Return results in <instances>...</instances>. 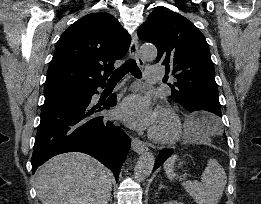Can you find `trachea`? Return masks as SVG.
I'll use <instances>...</instances> for the list:
<instances>
[{"label": "trachea", "instance_id": "trachea-1", "mask_svg": "<svg viewBox=\"0 0 261 204\" xmlns=\"http://www.w3.org/2000/svg\"><path fill=\"white\" fill-rule=\"evenodd\" d=\"M130 71V73L135 77V78H141L142 77V73L141 70L139 69V67L136 64V61L134 59H129L125 62V64L123 66H121L120 68H118L113 75L111 76V78L109 79L108 83L109 84H116L117 82H119L122 77H124L128 72Z\"/></svg>", "mask_w": 261, "mask_h": 204}]
</instances>
